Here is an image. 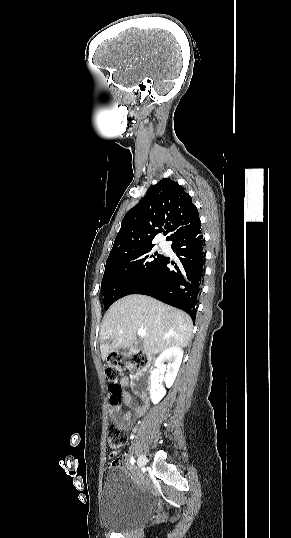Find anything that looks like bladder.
<instances>
[{
	"label": "bladder",
	"instance_id": "31cf9c89",
	"mask_svg": "<svg viewBox=\"0 0 291 538\" xmlns=\"http://www.w3.org/2000/svg\"><path fill=\"white\" fill-rule=\"evenodd\" d=\"M155 502L123 468H113L104 475L101 491V522L107 529L124 532L151 518Z\"/></svg>",
	"mask_w": 291,
	"mask_h": 538
}]
</instances>
